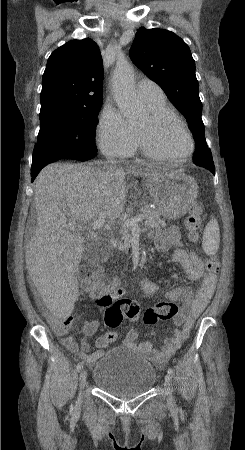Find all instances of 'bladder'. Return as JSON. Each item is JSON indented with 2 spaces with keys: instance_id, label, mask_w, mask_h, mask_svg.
I'll return each instance as SVG.
<instances>
[{
  "instance_id": "bladder-1",
  "label": "bladder",
  "mask_w": 245,
  "mask_h": 450,
  "mask_svg": "<svg viewBox=\"0 0 245 450\" xmlns=\"http://www.w3.org/2000/svg\"><path fill=\"white\" fill-rule=\"evenodd\" d=\"M157 380L154 366L139 352L115 347L93 367L92 384L116 397L129 398L149 391Z\"/></svg>"
}]
</instances>
